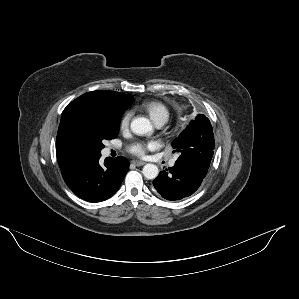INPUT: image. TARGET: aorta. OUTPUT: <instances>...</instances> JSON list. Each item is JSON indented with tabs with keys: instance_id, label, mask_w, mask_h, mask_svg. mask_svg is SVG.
Listing matches in <instances>:
<instances>
[{
	"instance_id": "aorta-1",
	"label": "aorta",
	"mask_w": 299,
	"mask_h": 299,
	"mask_svg": "<svg viewBox=\"0 0 299 299\" xmlns=\"http://www.w3.org/2000/svg\"><path fill=\"white\" fill-rule=\"evenodd\" d=\"M131 130L137 135H151L153 133V126L151 122L145 117H138L132 120ZM142 173L147 179H155L159 174V169L154 164H146L143 167Z\"/></svg>"
}]
</instances>
